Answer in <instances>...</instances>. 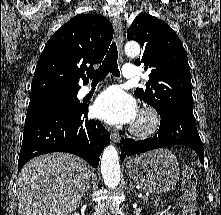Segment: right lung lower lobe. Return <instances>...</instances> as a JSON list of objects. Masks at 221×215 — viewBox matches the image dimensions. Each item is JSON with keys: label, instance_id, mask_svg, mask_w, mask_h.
Masks as SVG:
<instances>
[{"label": "right lung lower lobe", "instance_id": "98d812e1", "mask_svg": "<svg viewBox=\"0 0 221 215\" xmlns=\"http://www.w3.org/2000/svg\"><path fill=\"white\" fill-rule=\"evenodd\" d=\"M87 111L81 105L74 110L48 109L27 114L18 171L33 157L57 151L75 154L97 167L110 136L99 121L87 118Z\"/></svg>", "mask_w": 221, "mask_h": 215}]
</instances>
